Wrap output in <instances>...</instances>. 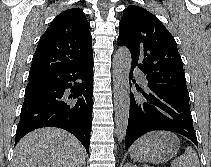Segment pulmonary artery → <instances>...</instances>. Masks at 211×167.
<instances>
[{"mask_svg":"<svg viewBox=\"0 0 211 167\" xmlns=\"http://www.w3.org/2000/svg\"><path fill=\"white\" fill-rule=\"evenodd\" d=\"M139 79H140V82L142 83V84H145L146 83V81H145V78H144V76L143 75H139Z\"/></svg>","mask_w":211,"mask_h":167,"instance_id":"1","label":"pulmonary artery"}]
</instances>
